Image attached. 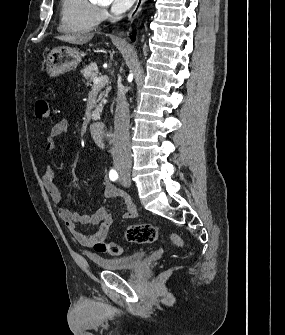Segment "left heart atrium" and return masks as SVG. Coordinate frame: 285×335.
<instances>
[{"label": "left heart atrium", "instance_id": "1", "mask_svg": "<svg viewBox=\"0 0 285 335\" xmlns=\"http://www.w3.org/2000/svg\"><path fill=\"white\" fill-rule=\"evenodd\" d=\"M111 6L112 11L115 14L122 13L126 11L134 1H104Z\"/></svg>", "mask_w": 285, "mask_h": 335}]
</instances>
